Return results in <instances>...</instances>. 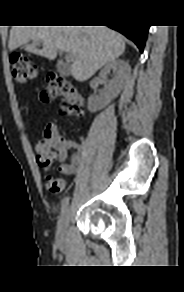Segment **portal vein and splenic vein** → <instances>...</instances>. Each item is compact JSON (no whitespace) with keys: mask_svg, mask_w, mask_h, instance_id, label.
I'll list each match as a JSON object with an SVG mask.
<instances>
[{"mask_svg":"<svg viewBox=\"0 0 184 292\" xmlns=\"http://www.w3.org/2000/svg\"><path fill=\"white\" fill-rule=\"evenodd\" d=\"M65 60H66L67 62H71V61L73 60L72 55H71L70 53H67V54L65 55Z\"/></svg>","mask_w":184,"mask_h":292,"instance_id":"portal-vein-and-splenic-vein-1","label":"portal vein and splenic vein"}]
</instances>
